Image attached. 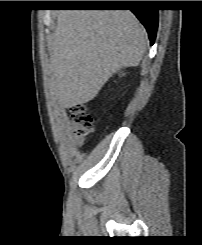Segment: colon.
Here are the masks:
<instances>
[{"instance_id":"obj_1","label":"colon","mask_w":202,"mask_h":245,"mask_svg":"<svg viewBox=\"0 0 202 245\" xmlns=\"http://www.w3.org/2000/svg\"><path fill=\"white\" fill-rule=\"evenodd\" d=\"M68 115L75 137L83 141L93 126V118L85 107L74 105L70 107Z\"/></svg>"}]
</instances>
